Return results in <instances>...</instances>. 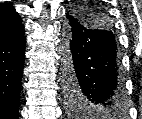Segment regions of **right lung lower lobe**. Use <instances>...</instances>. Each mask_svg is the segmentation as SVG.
Wrapping results in <instances>:
<instances>
[{
    "mask_svg": "<svg viewBox=\"0 0 142 119\" xmlns=\"http://www.w3.org/2000/svg\"><path fill=\"white\" fill-rule=\"evenodd\" d=\"M24 59V29L0 40V119H18Z\"/></svg>",
    "mask_w": 142,
    "mask_h": 119,
    "instance_id": "98d812e1",
    "label": "right lung lower lobe"
}]
</instances>
